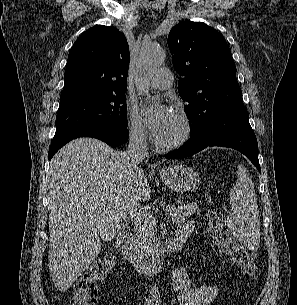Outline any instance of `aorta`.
Instances as JSON below:
<instances>
[{
	"mask_svg": "<svg viewBox=\"0 0 297 305\" xmlns=\"http://www.w3.org/2000/svg\"><path fill=\"white\" fill-rule=\"evenodd\" d=\"M165 59V51L157 45H149L142 48L136 65V86L140 95L147 96L149 87L147 80L161 66ZM150 295L156 297L159 295L158 287L152 284Z\"/></svg>",
	"mask_w": 297,
	"mask_h": 305,
	"instance_id": "762f6f07",
	"label": "aorta"
}]
</instances>
